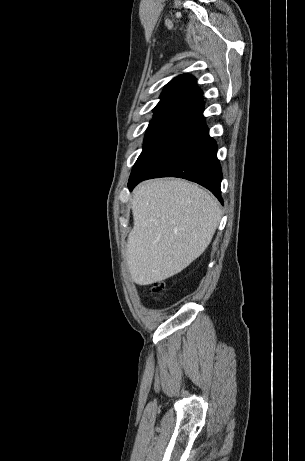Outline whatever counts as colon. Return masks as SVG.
<instances>
[{
  "label": "colon",
  "mask_w": 305,
  "mask_h": 461,
  "mask_svg": "<svg viewBox=\"0 0 305 461\" xmlns=\"http://www.w3.org/2000/svg\"><path fill=\"white\" fill-rule=\"evenodd\" d=\"M164 290V284L161 282L155 283L153 285V292L154 293H160Z\"/></svg>",
  "instance_id": "obj_1"
}]
</instances>
